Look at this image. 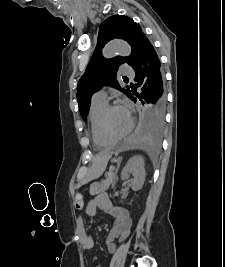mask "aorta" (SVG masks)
Segmentation results:
<instances>
[{
  "mask_svg": "<svg viewBox=\"0 0 225 267\" xmlns=\"http://www.w3.org/2000/svg\"><path fill=\"white\" fill-rule=\"evenodd\" d=\"M131 53V47L124 41H116L105 46L103 55L110 58L116 54L120 56H129Z\"/></svg>",
  "mask_w": 225,
  "mask_h": 267,
  "instance_id": "762f6f07",
  "label": "aorta"
}]
</instances>
